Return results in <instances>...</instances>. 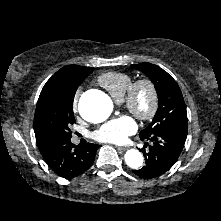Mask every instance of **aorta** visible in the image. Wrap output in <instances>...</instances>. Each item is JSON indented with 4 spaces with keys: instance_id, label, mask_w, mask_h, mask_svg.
<instances>
[{
    "instance_id": "aorta-1",
    "label": "aorta",
    "mask_w": 221,
    "mask_h": 221,
    "mask_svg": "<svg viewBox=\"0 0 221 221\" xmlns=\"http://www.w3.org/2000/svg\"><path fill=\"white\" fill-rule=\"evenodd\" d=\"M113 111L111 99L104 93L82 96L79 101L81 116L92 123L106 120ZM126 164L133 169L139 168L143 163V156L137 149H130L125 153Z\"/></svg>"
}]
</instances>
